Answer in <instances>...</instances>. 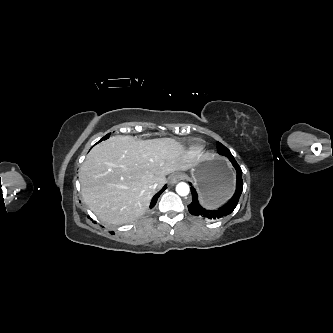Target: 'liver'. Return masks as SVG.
<instances>
[{"label":"liver","instance_id":"6515ba94","mask_svg":"<svg viewBox=\"0 0 333 333\" xmlns=\"http://www.w3.org/2000/svg\"><path fill=\"white\" fill-rule=\"evenodd\" d=\"M202 160L199 151L186 150L172 138L145 141L112 136L94 146L79 169L84 202L109 224L141 217L166 175L187 171Z\"/></svg>","mask_w":333,"mask_h":333}]
</instances>
